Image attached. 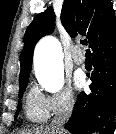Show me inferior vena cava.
<instances>
[{
	"label": "inferior vena cava",
	"mask_w": 116,
	"mask_h": 134,
	"mask_svg": "<svg viewBox=\"0 0 116 134\" xmlns=\"http://www.w3.org/2000/svg\"><path fill=\"white\" fill-rule=\"evenodd\" d=\"M72 109L73 104L68 103L61 111L58 112L51 125V129L55 132V134L64 133V125L70 118Z\"/></svg>",
	"instance_id": "obj_1"
}]
</instances>
